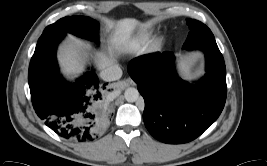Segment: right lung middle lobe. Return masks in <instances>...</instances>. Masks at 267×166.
Instances as JSON below:
<instances>
[{"label": "right lung middle lobe", "mask_w": 267, "mask_h": 166, "mask_svg": "<svg viewBox=\"0 0 267 166\" xmlns=\"http://www.w3.org/2000/svg\"><path fill=\"white\" fill-rule=\"evenodd\" d=\"M99 24L86 16H67L47 26L43 32L72 33L76 36L95 40L98 38Z\"/></svg>", "instance_id": "obj_1"}]
</instances>
